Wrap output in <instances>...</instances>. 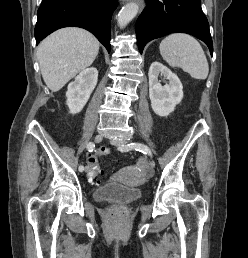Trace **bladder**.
Instances as JSON below:
<instances>
[{"label":"bladder","mask_w":248,"mask_h":258,"mask_svg":"<svg viewBox=\"0 0 248 258\" xmlns=\"http://www.w3.org/2000/svg\"><path fill=\"white\" fill-rule=\"evenodd\" d=\"M93 196L96 201H116L123 204L131 203L142 197V191L119 183H105L94 190Z\"/></svg>","instance_id":"bladder-1"}]
</instances>
